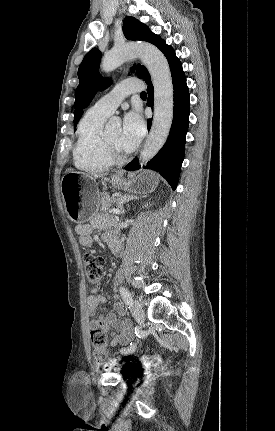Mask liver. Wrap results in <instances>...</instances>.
I'll return each mask as SVG.
<instances>
[{
  "instance_id": "6515ba94",
  "label": "liver",
  "mask_w": 275,
  "mask_h": 431,
  "mask_svg": "<svg viewBox=\"0 0 275 431\" xmlns=\"http://www.w3.org/2000/svg\"><path fill=\"white\" fill-rule=\"evenodd\" d=\"M94 177L97 178V177H100V176L99 175H95Z\"/></svg>"
}]
</instances>
